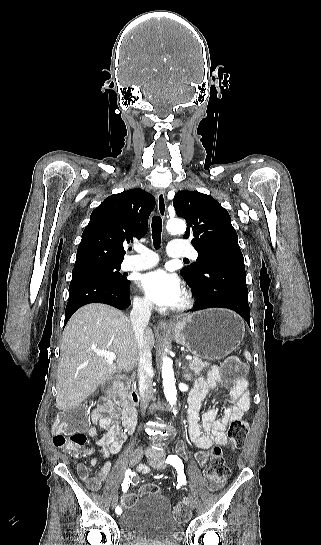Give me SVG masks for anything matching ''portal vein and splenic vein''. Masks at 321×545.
Returning <instances> with one entry per match:
<instances>
[{
	"label": "portal vein and splenic vein",
	"instance_id": "portal-vein-and-splenic-vein-1",
	"mask_svg": "<svg viewBox=\"0 0 321 545\" xmlns=\"http://www.w3.org/2000/svg\"><path fill=\"white\" fill-rule=\"evenodd\" d=\"M96 355H100V357H105L109 363H113L116 359L115 353H110V351H95ZM193 358V355H187V357H184V360H188Z\"/></svg>",
	"mask_w": 321,
	"mask_h": 545
}]
</instances>
